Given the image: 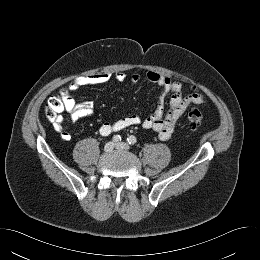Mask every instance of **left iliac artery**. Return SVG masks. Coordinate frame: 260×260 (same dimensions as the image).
Masks as SVG:
<instances>
[{
  "instance_id": "left-iliac-artery-1",
  "label": "left iliac artery",
  "mask_w": 260,
  "mask_h": 260,
  "mask_svg": "<svg viewBox=\"0 0 260 260\" xmlns=\"http://www.w3.org/2000/svg\"><path fill=\"white\" fill-rule=\"evenodd\" d=\"M127 142L130 144V145H134L136 142H137V139H136V137L135 136H129L128 138H127Z\"/></svg>"
}]
</instances>
